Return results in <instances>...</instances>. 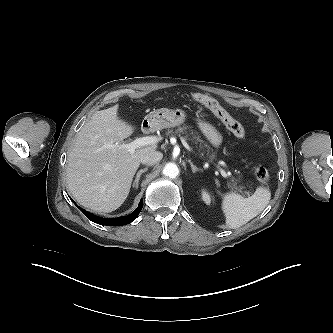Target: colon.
<instances>
[{"label": "colon", "mask_w": 333, "mask_h": 333, "mask_svg": "<svg viewBox=\"0 0 333 333\" xmlns=\"http://www.w3.org/2000/svg\"><path fill=\"white\" fill-rule=\"evenodd\" d=\"M192 98L205 107H207L238 139L245 137L243 126L235 120L214 98L203 94L193 93ZM256 179L261 183H266L269 180V172L265 167H257L254 171Z\"/></svg>", "instance_id": "obj_1"}]
</instances>
